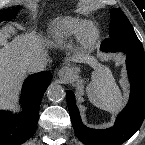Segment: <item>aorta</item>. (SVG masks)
I'll use <instances>...</instances> for the list:
<instances>
[{"label":"aorta","instance_id":"obj_1","mask_svg":"<svg viewBox=\"0 0 145 145\" xmlns=\"http://www.w3.org/2000/svg\"><path fill=\"white\" fill-rule=\"evenodd\" d=\"M65 90L59 84H51L47 90V97L50 101L58 103L65 98Z\"/></svg>","mask_w":145,"mask_h":145}]
</instances>
